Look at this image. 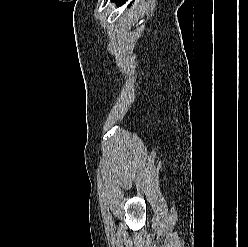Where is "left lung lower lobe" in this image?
<instances>
[{"mask_svg": "<svg viewBox=\"0 0 248 247\" xmlns=\"http://www.w3.org/2000/svg\"><path fill=\"white\" fill-rule=\"evenodd\" d=\"M115 1L118 5H122L123 3L126 2V0H112Z\"/></svg>", "mask_w": 248, "mask_h": 247, "instance_id": "left-lung-lower-lobe-1", "label": "left lung lower lobe"}]
</instances>
